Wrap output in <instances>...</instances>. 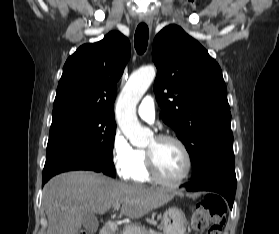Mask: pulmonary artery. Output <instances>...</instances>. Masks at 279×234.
Returning a JSON list of instances; mask_svg holds the SVG:
<instances>
[{
  "mask_svg": "<svg viewBox=\"0 0 279 234\" xmlns=\"http://www.w3.org/2000/svg\"><path fill=\"white\" fill-rule=\"evenodd\" d=\"M138 115L145 121L152 123L155 119V101L151 95H146L138 107Z\"/></svg>",
  "mask_w": 279,
  "mask_h": 234,
  "instance_id": "1",
  "label": "pulmonary artery"
}]
</instances>
